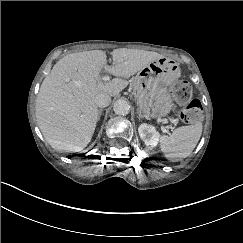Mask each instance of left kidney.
I'll return each instance as SVG.
<instances>
[{"mask_svg": "<svg viewBox=\"0 0 243 243\" xmlns=\"http://www.w3.org/2000/svg\"><path fill=\"white\" fill-rule=\"evenodd\" d=\"M139 134L147 146L154 147L157 145L159 136L153 126L147 124L140 125Z\"/></svg>", "mask_w": 243, "mask_h": 243, "instance_id": "1", "label": "left kidney"}]
</instances>
